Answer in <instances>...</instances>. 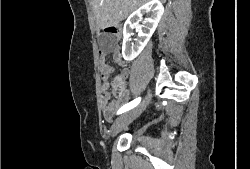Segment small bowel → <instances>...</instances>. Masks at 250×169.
I'll list each match as a JSON object with an SVG mask.
<instances>
[{
	"mask_svg": "<svg viewBox=\"0 0 250 169\" xmlns=\"http://www.w3.org/2000/svg\"><path fill=\"white\" fill-rule=\"evenodd\" d=\"M108 52L101 53V80H102V100H103V112L107 119H111L114 113L127 101L128 94H124L121 98L111 101V94L109 91L110 82L109 78L114 72V68L105 62ZM113 60L115 64L122 65V55L116 47L112 50ZM130 74L129 69L125 68L121 72V78L127 79Z\"/></svg>",
	"mask_w": 250,
	"mask_h": 169,
	"instance_id": "1",
	"label": "small bowel"
}]
</instances>
